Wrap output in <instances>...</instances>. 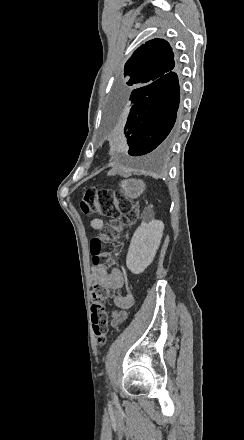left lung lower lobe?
Masks as SVG:
<instances>
[{"instance_id": "1", "label": "left lung lower lobe", "mask_w": 244, "mask_h": 440, "mask_svg": "<svg viewBox=\"0 0 244 440\" xmlns=\"http://www.w3.org/2000/svg\"><path fill=\"white\" fill-rule=\"evenodd\" d=\"M179 100L178 77L173 70L148 85L119 95L114 110L125 119L130 155L168 149L177 133L174 125Z\"/></svg>"}]
</instances>
